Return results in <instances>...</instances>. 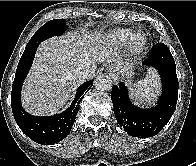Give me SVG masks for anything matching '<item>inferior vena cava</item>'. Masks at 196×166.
<instances>
[{"label": "inferior vena cava", "instance_id": "obj_1", "mask_svg": "<svg viewBox=\"0 0 196 166\" xmlns=\"http://www.w3.org/2000/svg\"><path fill=\"white\" fill-rule=\"evenodd\" d=\"M89 74L90 70L84 67L77 68L74 73L75 77L81 81L85 80Z\"/></svg>", "mask_w": 196, "mask_h": 166}]
</instances>
